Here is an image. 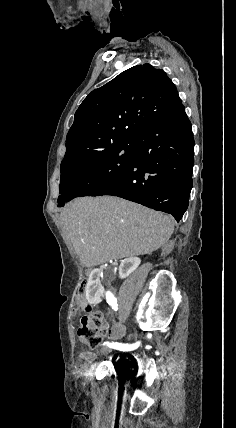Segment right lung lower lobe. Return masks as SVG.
Wrapping results in <instances>:
<instances>
[{"label": "right lung lower lobe", "instance_id": "obj_1", "mask_svg": "<svg viewBox=\"0 0 236 428\" xmlns=\"http://www.w3.org/2000/svg\"><path fill=\"white\" fill-rule=\"evenodd\" d=\"M135 157L127 169L92 196H118L179 221L192 188L194 139L182 105L135 139Z\"/></svg>", "mask_w": 236, "mask_h": 428}]
</instances>
